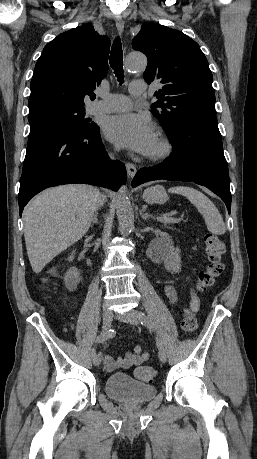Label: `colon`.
Here are the masks:
<instances>
[{"mask_svg":"<svg viewBox=\"0 0 257 459\" xmlns=\"http://www.w3.org/2000/svg\"><path fill=\"white\" fill-rule=\"evenodd\" d=\"M205 250L208 258V264L199 272L195 283V290L203 292L210 288L224 271L223 255L225 245L221 238L214 234H207L204 238ZM182 330L186 334L194 333L198 328V320L192 309H187L182 320ZM156 375V370L150 366L139 367L136 370V376L149 382Z\"/></svg>","mask_w":257,"mask_h":459,"instance_id":"obj_1","label":"colon"}]
</instances>
